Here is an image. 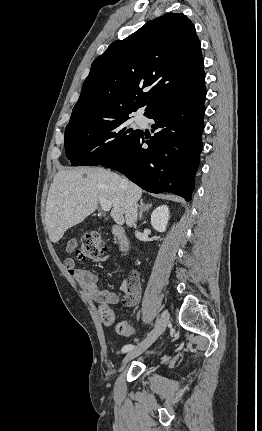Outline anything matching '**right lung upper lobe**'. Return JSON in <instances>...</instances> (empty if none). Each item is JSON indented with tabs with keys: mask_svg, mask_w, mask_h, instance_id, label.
Returning <instances> with one entry per match:
<instances>
[{
	"mask_svg": "<svg viewBox=\"0 0 262 431\" xmlns=\"http://www.w3.org/2000/svg\"><path fill=\"white\" fill-rule=\"evenodd\" d=\"M205 83L200 41L182 13L149 21L94 60L68 123L144 115L194 96Z\"/></svg>",
	"mask_w": 262,
	"mask_h": 431,
	"instance_id": "right-lung-upper-lobe-1",
	"label": "right lung upper lobe"
}]
</instances>
